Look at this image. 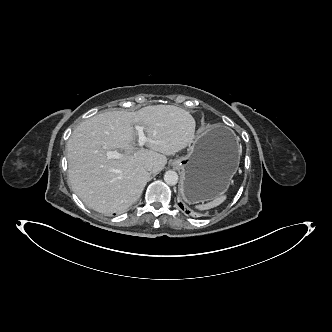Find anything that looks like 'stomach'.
Instances as JSON below:
<instances>
[{
	"instance_id": "obj_1",
	"label": "stomach",
	"mask_w": 332,
	"mask_h": 332,
	"mask_svg": "<svg viewBox=\"0 0 332 332\" xmlns=\"http://www.w3.org/2000/svg\"><path fill=\"white\" fill-rule=\"evenodd\" d=\"M241 152L239 140L229 128H215L198 136L187 155L172 161L182 172V198L195 204L224 195L237 171Z\"/></svg>"
}]
</instances>
